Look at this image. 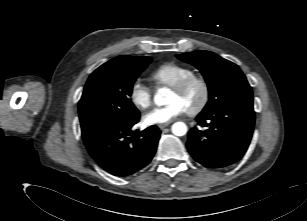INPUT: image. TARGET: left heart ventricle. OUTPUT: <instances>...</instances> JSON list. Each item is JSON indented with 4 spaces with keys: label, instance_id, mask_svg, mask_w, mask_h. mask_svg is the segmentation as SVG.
Returning <instances> with one entry per match:
<instances>
[{
    "label": "left heart ventricle",
    "instance_id": "obj_1",
    "mask_svg": "<svg viewBox=\"0 0 307 221\" xmlns=\"http://www.w3.org/2000/svg\"><path fill=\"white\" fill-rule=\"evenodd\" d=\"M201 95L202 91L200 86L194 84L182 93L170 90L167 102L171 103L173 101H177L182 104L185 109H190L195 107L199 103Z\"/></svg>",
    "mask_w": 307,
    "mask_h": 221
}]
</instances>
